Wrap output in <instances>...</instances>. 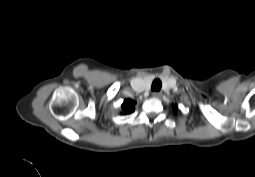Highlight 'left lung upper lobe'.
Wrapping results in <instances>:
<instances>
[{
	"instance_id": "obj_1",
	"label": "left lung upper lobe",
	"mask_w": 255,
	"mask_h": 177,
	"mask_svg": "<svg viewBox=\"0 0 255 177\" xmlns=\"http://www.w3.org/2000/svg\"><path fill=\"white\" fill-rule=\"evenodd\" d=\"M177 109H178L177 105H174L173 110H174L175 113H177Z\"/></svg>"
}]
</instances>
